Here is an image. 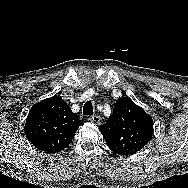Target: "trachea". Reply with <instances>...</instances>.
<instances>
[{"instance_id":"trachea-1","label":"trachea","mask_w":188,"mask_h":188,"mask_svg":"<svg viewBox=\"0 0 188 188\" xmlns=\"http://www.w3.org/2000/svg\"><path fill=\"white\" fill-rule=\"evenodd\" d=\"M93 104L91 101H87L83 106V114L84 115H93Z\"/></svg>"}]
</instances>
